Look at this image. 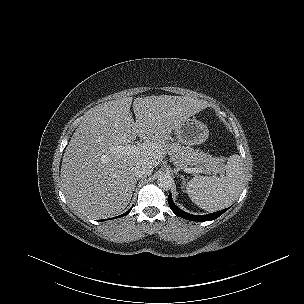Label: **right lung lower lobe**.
<instances>
[{
	"label": "right lung lower lobe",
	"instance_id": "98d812e1",
	"mask_svg": "<svg viewBox=\"0 0 304 304\" xmlns=\"http://www.w3.org/2000/svg\"><path fill=\"white\" fill-rule=\"evenodd\" d=\"M130 211H131V209H129L126 213L122 214L121 216L127 215ZM121 216H118V217H121Z\"/></svg>",
	"mask_w": 304,
	"mask_h": 304
}]
</instances>
